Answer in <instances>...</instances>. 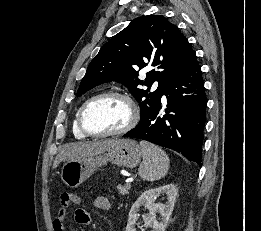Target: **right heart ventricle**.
Wrapping results in <instances>:
<instances>
[{
	"label": "right heart ventricle",
	"instance_id": "1",
	"mask_svg": "<svg viewBox=\"0 0 261 231\" xmlns=\"http://www.w3.org/2000/svg\"><path fill=\"white\" fill-rule=\"evenodd\" d=\"M92 98V97H90ZM86 99L81 105L80 107L78 108V110L76 111L75 115H74V118H73V121H72V132H73V135L75 136V138L77 139H85L87 138V136L85 134H83L80 129H79V126H78V114H79V111L81 109V107L90 99Z\"/></svg>",
	"mask_w": 261,
	"mask_h": 231
}]
</instances>
